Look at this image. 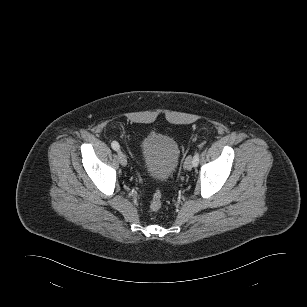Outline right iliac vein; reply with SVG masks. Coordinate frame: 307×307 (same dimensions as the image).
I'll return each mask as SVG.
<instances>
[{"label":"right iliac vein","mask_w":307,"mask_h":307,"mask_svg":"<svg viewBox=\"0 0 307 307\" xmlns=\"http://www.w3.org/2000/svg\"><path fill=\"white\" fill-rule=\"evenodd\" d=\"M118 158H119V162L122 166L127 165V157L123 152H121V151L118 152Z\"/></svg>","instance_id":"right-iliac-vein-1"}]
</instances>
